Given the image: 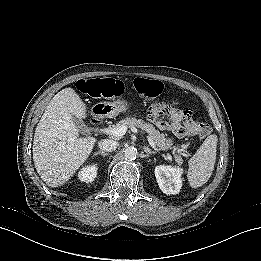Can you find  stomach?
Masks as SVG:
<instances>
[{"mask_svg": "<svg viewBox=\"0 0 261 261\" xmlns=\"http://www.w3.org/2000/svg\"><path fill=\"white\" fill-rule=\"evenodd\" d=\"M98 105H102L105 113L109 114H118L120 112H126L128 110L127 102L123 99H116L112 102L104 101L98 103Z\"/></svg>", "mask_w": 261, "mask_h": 261, "instance_id": "0dacf381", "label": "stomach"}]
</instances>
